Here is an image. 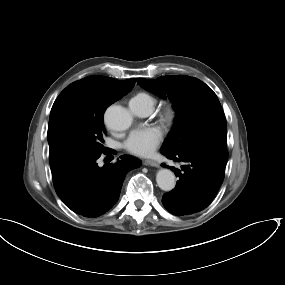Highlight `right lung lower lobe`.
<instances>
[{
	"label": "right lung lower lobe",
	"instance_id": "1",
	"mask_svg": "<svg viewBox=\"0 0 285 285\" xmlns=\"http://www.w3.org/2000/svg\"><path fill=\"white\" fill-rule=\"evenodd\" d=\"M113 152L107 149L104 154ZM101 154L77 157L51 169L59 198L84 217H98L110 210L119 198L126 173L141 166L137 158L124 155L115 164L100 168L96 161Z\"/></svg>",
	"mask_w": 285,
	"mask_h": 285
}]
</instances>
